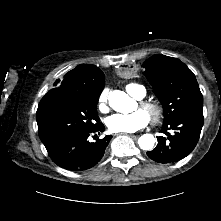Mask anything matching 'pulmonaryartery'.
Segmentation results:
<instances>
[{
	"mask_svg": "<svg viewBox=\"0 0 221 221\" xmlns=\"http://www.w3.org/2000/svg\"><path fill=\"white\" fill-rule=\"evenodd\" d=\"M136 89H137V91H138L139 94H142V93L144 92V87H142V86H140V85H138V86L136 87Z\"/></svg>",
	"mask_w": 221,
	"mask_h": 221,
	"instance_id": "obj_1",
	"label": "pulmonary artery"
}]
</instances>
